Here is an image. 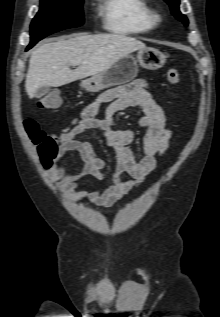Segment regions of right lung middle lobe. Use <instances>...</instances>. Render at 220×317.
I'll list each match as a JSON object with an SVG mask.
<instances>
[{"label": "right lung middle lobe", "mask_w": 220, "mask_h": 317, "mask_svg": "<svg viewBox=\"0 0 220 317\" xmlns=\"http://www.w3.org/2000/svg\"><path fill=\"white\" fill-rule=\"evenodd\" d=\"M83 0H41L40 10L30 27V44L60 30L81 26Z\"/></svg>", "instance_id": "obj_1"}]
</instances>
